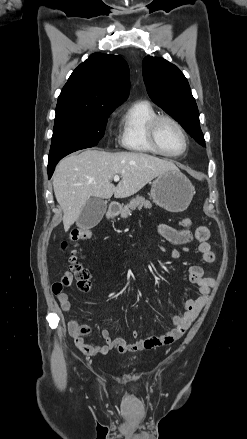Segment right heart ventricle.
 <instances>
[{
  "label": "right heart ventricle",
  "mask_w": 247,
  "mask_h": 439,
  "mask_svg": "<svg viewBox=\"0 0 247 439\" xmlns=\"http://www.w3.org/2000/svg\"><path fill=\"white\" fill-rule=\"evenodd\" d=\"M158 115L148 101H136L131 104L120 120V145L133 152L157 154L148 139V126Z\"/></svg>",
  "instance_id": "right-heart-ventricle-1"
}]
</instances>
